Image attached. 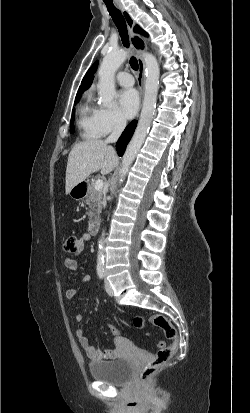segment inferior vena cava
<instances>
[{
    "label": "inferior vena cava",
    "instance_id": "inferior-vena-cava-1",
    "mask_svg": "<svg viewBox=\"0 0 250 413\" xmlns=\"http://www.w3.org/2000/svg\"><path fill=\"white\" fill-rule=\"evenodd\" d=\"M126 127V119L124 117H119L116 120V123L114 125L113 131L108 136V138L105 140L106 143H115L119 139L121 133L123 132L124 128ZM106 203H104V206Z\"/></svg>",
    "mask_w": 250,
    "mask_h": 413
}]
</instances>
